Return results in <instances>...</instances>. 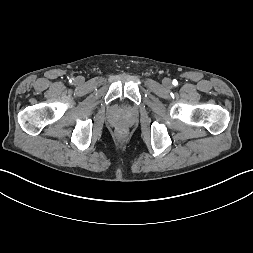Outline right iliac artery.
I'll return each mask as SVG.
<instances>
[{
  "label": "right iliac artery",
  "instance_id": "right-iliac-artery-1",
  "mask_svg": "<svg viewBox=\"0 0 253 253\" xmlns=\"http://www.w3.org/2000/svg\"><path fill=\"white\" fill-rule=\"evenodd\" d=\"M73 81H74V78H71V79H70V82H73Z\"/></svg>",
  "mask_w": 253,
  "mask_h": 253
}]
</instances>
